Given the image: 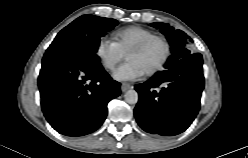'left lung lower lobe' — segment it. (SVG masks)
I'll return each instance as SVG.
<instances>
[{"label": "left lung lower lobe", "mask_w": 248, "mask_h": 158, "mask_svg": "<svg viewBox=\"0 0 248 158\" xmlns=\"http://www.w3.org/2000/svg\"><path fill=\"white\" fill-rule=\"evenodd\" d=\"M161 87L160 90L154 88ZM204 88L201 54H191L171 68L135 85L139 101L134 109L146 132L173 136L185 131L200 108Z\"/></svg>", "instance_id": "1"}]
</instances>
